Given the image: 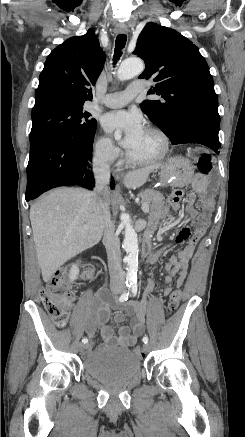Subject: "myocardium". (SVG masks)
I'll use <instances>...</instances> for the list:
<instances>
[{
    "label": "myocardium",
    "instance_id": "myocardium-1",
    "mask_svg": "<svg viewBox=\"0 0 245 437\" xmlns=\"http://www.w3.org/2000/svg\"><path fill=\"white\" fill-rule=\"evenodd\" d=\"M146 131L154 133L160 138L161 149L157 154H155L152 157H148V158H135V157L131 156L129 153V154H127V159L131 163L140 164V165L158 163V162L162 161L163 159H165L170 151V145H171L170 139H169L167 133L163 129H161L157 126H148L146 128Z\"/></svg>",
    "mask_w": 245,
    "mask_h": 437
}]
</instances>
